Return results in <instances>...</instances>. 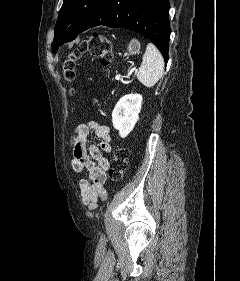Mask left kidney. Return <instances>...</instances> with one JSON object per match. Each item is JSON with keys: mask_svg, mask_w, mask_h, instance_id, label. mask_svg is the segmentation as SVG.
I'll use <instances>...</instances> for the list:
<instances>
[{"mask_svg": "<svg viewBox=\"0 0 240 281\" xmlns=\"http://www.w3.org/2000/svg\"><path fill=\"white\" fill-rule=\"evenodd\" d=\"M141 104L142 96L140 94H128L115 105L112 112V123L122 138H125L133 130L139 119Z\"/></svg>", "mask_w": 240, "mask_h": 281, "instance_id": "1", "label": "left kidney"}]
</instances>
